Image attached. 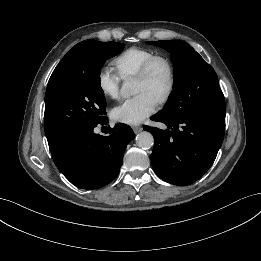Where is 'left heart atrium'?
Returning <instances> with one entry per match:
<instances>
[{
	"instance_id": "left-heart-atrium-1",
	"label": "left heart atrium",
	"mask_w": 261,
	"mask_h": 261,
	"mask_svg": "<svg viewBox=\"0 0 261 261\" xmlns=\"http://www.w3.org/2000/svg\"><path fill=\"white\" fill-rule=\"evenodd\" d=\"M157 107V101L147 93H140L124 100L111 110V118L118 123L140 124Z\"/></svg>"
}]
</instances>
